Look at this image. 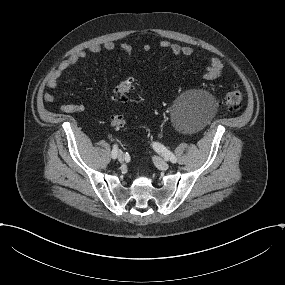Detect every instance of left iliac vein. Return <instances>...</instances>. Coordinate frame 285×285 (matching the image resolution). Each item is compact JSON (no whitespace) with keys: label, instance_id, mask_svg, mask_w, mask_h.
<instances>
[{"label":"left iliac vein","instance_id":"4c4485c4","mask_svg":"<svg viewBox=\"0 0 285 285\" xmlns=\"http://www.w3.org/2000/svg\"><path fill=\"white\" fill-rule=\"evenodd\" d=\"M153 161L156 164V166L161 169V170H168L169 169V164L166 163L163 159H161L158 156L153 157Z\"/></svg>","mask_w":285,"mask_h":285}]
</instances>
